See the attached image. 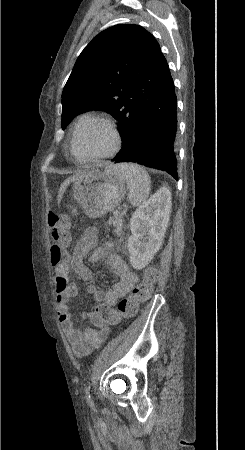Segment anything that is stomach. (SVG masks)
<instances>
[{
    "mask_svg": "<svg viewBox=\"0 0 245 450\" xmlns=\"http://www.w3.org/2000/svg\"><path fill=\"white\" fill-rule=\"evenodd\" d=\"M125 181L117 173L115 166L104 171L95 170L74 181L72 197L89 218H98L113 211L125 198ZM72 214L77 215V208Z\"/></svg>",
    "mask_w": 245,
    "mask_h": 450,
    "instance_id": "1",
    "label": "stomach"
}]
</instances>
